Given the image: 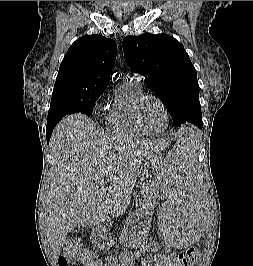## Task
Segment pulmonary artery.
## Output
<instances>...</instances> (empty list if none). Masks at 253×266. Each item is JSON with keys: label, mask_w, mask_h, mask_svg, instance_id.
Masks as SVG:
<instances>
[{"label": "pulmonary artery", "mask_w": 253, "mask_h": 266, "mask_svg": "<svg viewBox=\"0 0 253 266\" xmlns=\"http://www.w3.org/2000/svg\"><path fill=\"white\" fill-rule=\"evenodd\" d=\"M126 78H128V79H134V80L140 82V78H139L138 76H136V75H133V76H127Z\"/></svg>", "instance_id": "1"}]
</instances>
